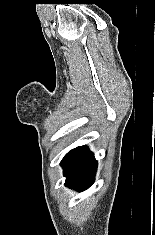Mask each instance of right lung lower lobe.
Wrapping results in <instances>:
<instances>
[{
    "label": "right lung lower lobe",
    "instance_id": "right-lung-lower-lobe-1",
    "mask_svg": "<svg viewBox=\"0 0 155 235\" xmlns=\"http://www.w3.org/2000/svg\"><path fill=\"white\" fill-rule=\"evenodd\" d=\"M61 165L67 177L66 186L83 191L93 184L97 161L86 146L77 147L68 152L61 161Z\"/></svg>",
    "mask_w": 155,
    "mask_h": 235
}]
</instances>
